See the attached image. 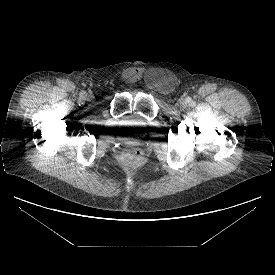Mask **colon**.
<instances>
[{
	"instance_id": "obj_1",
	"label": "colon",
	"mask_w": 275,
	"mask_h": 275,
	"mask_svg": "<svg viewBox=\"0 0 275 275\" xmlns=\"http://www.w3.org/2000/svg\"><path fill=\"white\" fill-rule=\"evenodd\" d=\"M122 160L128 166L139 165L143 160L142 152L140 149L132 147L123 153Z\"/></svg>"
}]
</instances>
